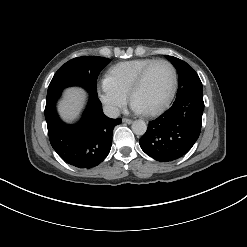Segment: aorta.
<instances>
[{
	"mask_svg": "<svg viewBox=\"0 0 247 247\" xmlns=\"http://www.w3.org/2000/svg\"><path fill=\"white\" fill-rule=\"evenodd\" d=\"M147 130V125L143 120H136L132 124V131L136 135H143Z\"/></svg>",
	"mask_w": 247,
	"mask_h": 247,
	"instance_id": "obj_1",
	"label": "aorta"
}]
</instances>
